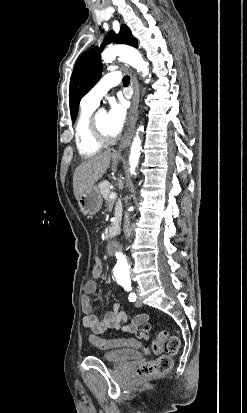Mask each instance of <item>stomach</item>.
<instances>
[{
	"instance_id": "0dacf381",
	"label": "stomach",
	"mask_w": 247,
	"mask_h": 413,
	"mask_svg": "<svg viewBox=\"0 0 247 413\" xmlns=\"http://www.w3.org/2000/svg\"><path fill=\"white\" fill-rule=\"evenodd\" d=\"M81 213L83 215H95L102 207L103 198L97 186H91L87 192L77 198Z\"/></svg>"
}]
</instances>
